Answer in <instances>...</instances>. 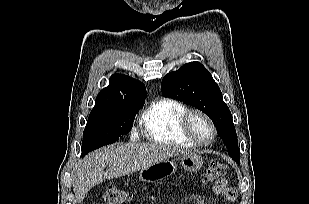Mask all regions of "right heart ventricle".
Masks as SVG:
<instances>
[{"instance_id":"right-heart-ventricle-1","label":"right heart ventricle","mask_w":309,"mask_h":204,"mask_svg":"<svg viewBox=\"0 0 309 204\" xmlns=\"http://www.w3.org/2000/svg\"><path fill=\"white\" fill-rule=\"evenodd\" d=\"M188 107L172 98H161L152 102L142 113L139 124L144 136L151 142L194 147L181 128V119Z\"/></svg>"}]
</instances>
